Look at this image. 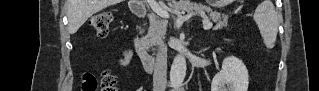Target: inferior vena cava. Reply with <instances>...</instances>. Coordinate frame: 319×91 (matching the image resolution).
I'll return each instance as SVG.
<instances>
[{"label": "inferior vena cava", "mask_w": 319, "mask_h": 91, "mask_svg": "<svg viewBox=\"0 0 319 91\" xmlns=\"http://www.w3.org/2000/svg\"><path fill=\"white\" fill-rule=\"evenodd\" d=\"M167 86V46L159 43L156 55L154 74H153V91H165Z\"/></svg>", "instance_id": "obj_1"}]
</instances>
